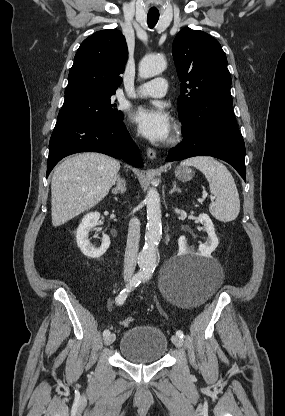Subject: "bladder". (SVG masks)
<instances>
[{
	"instance_id": "1",
	"label": "bladder",
	"mask_w": 285,
	"mask_h": 416,
	"mask_svg": "<svg viewBox=\"0 0 285 416\" xmlns=\"http://www.w3.org/2000/svg\"><path fill=\"white\" fill-rule=\"evenodd\" d=\"M123 359L134 363L162 360L168 349V339L154 325H136L126 330L118 342Z\"/></svg>"
}]
</instances>
